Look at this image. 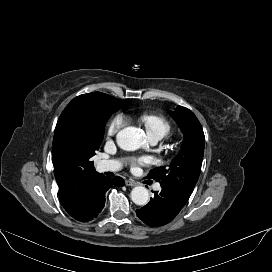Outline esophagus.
Masks as SVG:
<instances>
[{"label": "esophagus", "mask_w": 272, "mask_h": 272, "mask_svg": "<svg viewBox=\"0 0 272 272\" xmlns=\"http://www.w3.org/2000/svg\"><path fill=\"white\" fill-rule=\"evenodd\" d=\"M125 184L126 186H131V187L136 186V182L131 179L126 180Z\"/></svg>", "instance_id": "1"}]
</instances>
